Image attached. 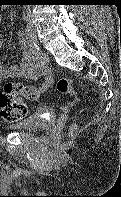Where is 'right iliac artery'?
Returning <instances> with one entry per match:
<instances>
[{"instance_id": "82829eb1", "label": "right iliac artery", "mask_w": 121, "mask_h": 197, "mask_svg": "<svg viewBox=\"0 0 121 197\" xmlns=\"http://www.w3.org/2000/svg\"><path fill=\"white\" fill-rule=\"evenodd\" d=\"M25 34H26V38H27L28 42L30 43L31 47L36 52V54L40 57L41 61H43L44 58L42 56V53H41L39 47L34 42L33 37L29 33V29L28 28L25 30Z\"/></svg>"}]
</instances>
